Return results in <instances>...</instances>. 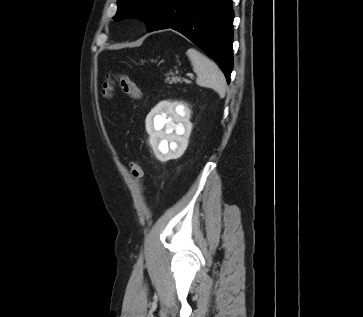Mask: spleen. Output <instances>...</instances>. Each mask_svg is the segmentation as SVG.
I'll return each instance as SVG.
<instances>
[{"label":"spleen","mask_w":363,"mask_h":317,"mask_svg":"<svg viewBox=\"0 0 363 317\" xmlns=\"http://www.w3.org/2000/svg\"><path fill=\"white\" fill-rule=\"evenodd\" d=\"M193 71L197 74L196 83L215 90L221 97L226 93V79L218 65L194 48L186 52Z\"/></svg>","instance_id":"obj_1"}]
</instances>
